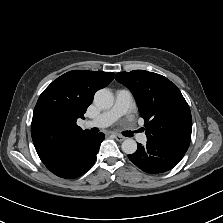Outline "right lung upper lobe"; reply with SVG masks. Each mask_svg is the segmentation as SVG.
<instances>
[{
	"label": "right lung upper lobe",
	"mask_w": 223,
	"mask_h": 223,
	"mask_svg": "<svg viewBox=\"0 0 223 223\" xmlns=\"http://www.w3.org/2000/svg\"><path fill=\"white\" fill-rule=\"evenodd\" d=\"M112 72L69 71L54 80L40 95L34 108L31 135L46 167L63 160L77 142L89 134L77 124L95 92L114 78Z\"/></svg>",
	"instance_id": "right-lung-upper-lobe-1"
}]
</instances>
